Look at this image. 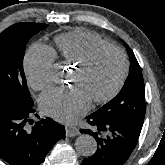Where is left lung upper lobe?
Segmentation results:
<instances>
[{"label":"left lung upper lobe","instance_id":"1","mask_svg":"<svg viewBox=\"0 0 165 165\" xmlns=\"http://www.w3.org/2000/svg\"><path fill=\"white\" fill-rule=\"evenodd\" d=\"M124 45L130 58V70L125 84L115 98L89 116L142 126L145 117L143 76L133 51L126 43Z\"/></svg>","mask_w":165,"mask_h":165}]
</instances>
